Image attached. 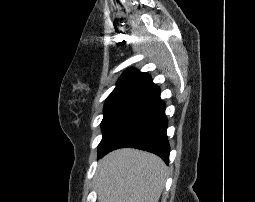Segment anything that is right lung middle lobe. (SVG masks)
<instances>
[{"mask_svg": "<svg viewBox=\"0 0 255 202\" xmlns=\"http://www.w3.org/2000/svg\"><path fill=\"white\" fill-rule=\"evenodd\" d=\"M135 114L132 112L104 114L101 123L103 138L98 146V158L106 150L112 138Z\"/></svg>", "mask_w": 255, "mask_h": 202, "instance_id": "obj_1", "label": "right lung middle lobe"}]
</instances>
